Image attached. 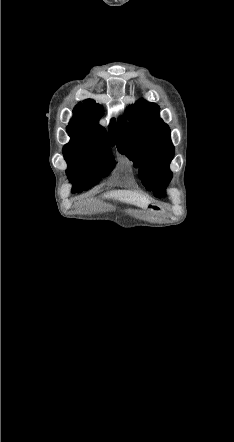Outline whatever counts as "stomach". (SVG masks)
<instances>
[{"mask_svg": "<svg viewBox=\"0 0 234 442\" xmlns=\"http://www.w3.org/2000/svg\"><path fill=\"white\" fill-rule=\"evenodd\" d=\"M150 207L153 208V209H156V208H157V207L152 206V205H149V206H148V208H150Z\"/></svg>", "mask_w": 234, "mask_h": 442, "instance_id": "0dacf381", "label": "stomach"}]
</instances>
